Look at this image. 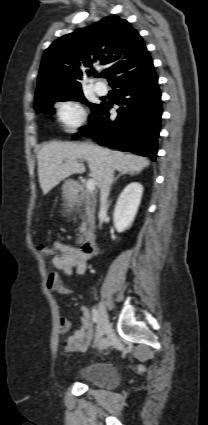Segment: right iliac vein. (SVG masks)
Segmentation results:
<instances>
[{"mask_svg": "<svg viewBox=\"0 0 208 425\" xmlns=\"http://www.w3.org/2000/svg\"><path fill=\"white\" fill-rule=\"evenodd\" d=\"M98 313L96 343H99L104 334L110 329L108 314L103 303L99 304Z\"/></svg>", "mask_w": 208, "mask_h": 425, "instance_id": "obj_1", "label": "right iliac vein"}]
</instances>
